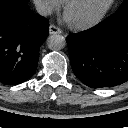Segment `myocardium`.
Returning a JSON list of instances; mask_svg holds the SVG:
<instances>
[{"mask_svg":"<svg viewBox=\"0 0 128 128\" xmlns=\"http://www.w3.org/2000/svg\"><path fill=\"white\" fill-rule=\"evenodd\" d=\"M78 0H66L65 1V6H64V11L65 14L67 15L69 9L77 2ZM115 0H108L106 4L103 6V8L92 18L85 20V21H80V22H72L73 25L77 29H88L91 28L98 23H100L103 18L106 16V14L109 12L111 7L113 6Z\"/></svg>","mask_w":128,"mask_h":128,"instance_id":"myocardium-1","label":"myocardium"}]
</instances>
